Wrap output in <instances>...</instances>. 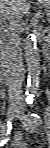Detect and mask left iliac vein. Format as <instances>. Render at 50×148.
Instances as JSON below:
<instances>
[{"label":"left iliac vein","mask_w":50,"mask_h":148,"mask_svg":"<svg viewBox=\"0 0 50 148\" xmlns=\"http://www.w3.org/2000/svg\"><path fill=\"white\" fill-rule=\"evenodd\" d=\"M17 118L22 122L23 126L31 133L36 132L37 124L31 119V117L21 111H18Z\"/></svg>","instance_id":"1"}]
</instances>
